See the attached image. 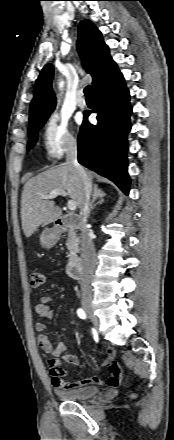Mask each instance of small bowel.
Wrapping results in <instances>:
<instances>
[{
  "label": "small bowel",
  "instance_id": "c3829d8e",
  "mask_svg": "<svg viewBox=\"0 0 174 440\" xmlns=\"http://www.w3.org/2000/svg\"><path fill=\"white\" fill-rule=\"evenodd\" d=\"M51 303H52V297L42 296L41 302L35 308L36 314L40 318L51 319L53 316ZM46 328L47 326L45 322L39 321L36 323V330L39 332L38 342L40 347L47 355L54 357V359L49 360L52 382L54 386L65 389H76L90 384H101L103 382V380L97 376H92L72 382L67 381L66 380L67 372L63 368L61 362L56 358L62 355L64 362L74 365L79 364V359L76 355L65 354L66 346L62 342L59 343L56 347H54L48 335L45 334ZM106 354L107 357L105 362L111 363L110 376L107 379V384L110 387H116L119 384L120 368L115 362L114 351L111 349H107Z\"/></svg>",
  "mask_w": 174,
  "mask_h": 440
}]
</instances>
